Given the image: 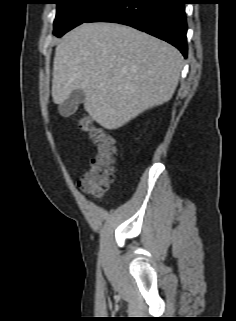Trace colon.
I'll use <instances>...</instances> for the list:
<instances>
[{
	"label": "colon",
	"instance_id": "colon-1",
	"mask_svg": "<svg viewBox=\"0 0 236 321\" xmlns=\"http://www.w3.org/2000/svg\"><path fill=\"white\" fill-rule=\"evenodd\" d=\"M78 127L88 132L95 145L96 153L80 179V188L88 196L99 198L114 180L115 147L113 138L104 128L96 125L89 116L78 120Z\"/></svg>",
	"mask_w": 236,
	"mask_h": 321
}]
</instances>
